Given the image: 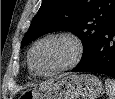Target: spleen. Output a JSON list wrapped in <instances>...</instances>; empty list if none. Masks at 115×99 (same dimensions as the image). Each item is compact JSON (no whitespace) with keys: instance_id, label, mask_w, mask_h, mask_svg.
<instances>
[{"instance_id":"spleen-1","label":"spleen","mask_w":115,"mask_h":99,"mask_svg":"<svg viewBox=\"0 0 115 99\" xmlns=\"http://www.w3.org/2000/svg\"><path fill=\"white\" fill-rule=\"evenodd\" d=\"M105 85L109 99H115V80L108 78L105 80Z\"/></svg>"}]
</instances>
